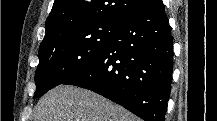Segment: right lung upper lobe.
I'll return each instance as SVG.
<instances>
[{"label":"right lung upper lobe","instance_id":"right-lung-upper-lobe-1","mask_svg":"<svg viewBox=\"0 0 217 121\" xmlns=\"http://www.w3.org/2000/svg\"><path fill=\"white\" fill-rule=\"evenodd\" d=\"M151 0H55L46 20L40 45L48 44L86 24L114 21L122 23Z\"/></svg>","mask_w":217,"mask_h":121}]
</instances>
